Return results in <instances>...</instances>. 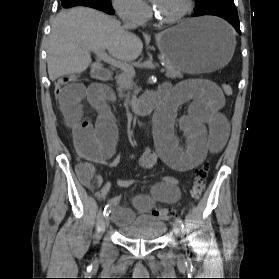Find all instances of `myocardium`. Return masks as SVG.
<instances>
[{"label":"myocardium","instance_id":"f54148a6","mask_svg":"<svg viewBox=\"0 0 279 279\" xmlns=\"http://www.w3.org/2000/svg\"><path fill=\"white\" fill-rule=\"evenodd\" d=\"M193 8H194V0H187L186 7L180 12V14H178L177 16H175L173 18L161 17L160 15L157 14V12L155 11L153 6H151V11H152L153 17L159 23H161V24H176V23L182 21L183 19H185L192 12Z\"/></svg>","mask_w":279,"mask_h":279}]
</instances>
